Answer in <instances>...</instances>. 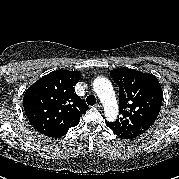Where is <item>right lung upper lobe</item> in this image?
Wrapping results in <instances>:
<instances>
[{"label": "right lung upper lobe", "mask_w": 179, "mask_h": 179, "mask_svg": "<svg viewBox=\"0 0 179 179\" xmlns=\"http://www.w3.org/2000/svg\"><path fill=\"white\" fill-rule=\"evenodd\" d=\"M79 71L56 70L40 78L25 92L26 116L38 132L59 138L79 124L89 107L75 93Z\"/></svg>", "instance_id": "1"}]
</instances>
